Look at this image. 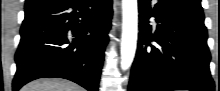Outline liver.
<instances>
[{"instance_id": "obj_1", "label": "liver", "mask_w": 220, "mask_h": 91, "mask_svg": "<svg viewBox=\"0 0 220 91\" xmlns=\"http://www.w3.org/2000/svg\"><path fill=\"white\" fill-rule=\"evenodd\" d=\"M21 91H83V89L73 82L50 78L30 82Z\"/></svg>"}]
</instances>
